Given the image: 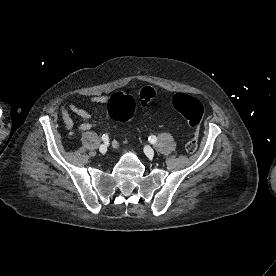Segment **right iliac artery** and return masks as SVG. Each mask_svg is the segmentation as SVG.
<instances>
[{"instance_id":"82829eb1","label":"right iliac artery","mask_w":276,"mask_h":276,"mask_svg":"<svg viewBox=\"0 0 276 276\" xmlns=\"http://www.w3.org/2000/svg\"><path fill=\"white\" fill-rule=\"evenodd\" d=\"M102 140H103L104 142H108V141H109L108 135L103 134Z\"/></svg>"}]
</instances>
